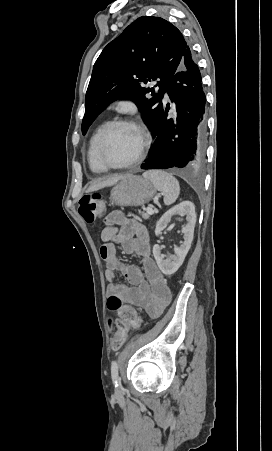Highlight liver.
<instances>
[{"mask_svg":"<svg viewBox=\"0 0 272 451\" xmlns=\"http://www.w3.org/2000/svg\"><path fill=\"white\" fill-rule=\"evenodd\" d=\"M124 176H115V178H108L106 182H99V184H94V186H91L89 188V192H94V190H100V188H105V186H113V184H116V182H119V180H122Z\"/></svg>","mask_w":272,"mask_h":451,"instance_id":"obj_1","label":"liver"}]
</instances>
